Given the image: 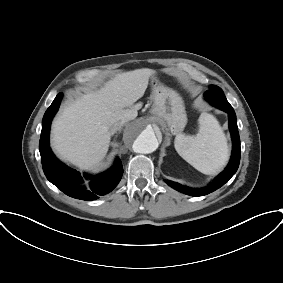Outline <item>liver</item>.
Segmentation results:
<instances>
[{
    "mask_svg": "<svg viewBox=\"0 0 283 283\" xmlns=\"http://www.w3.org/2000/svg\"><path fill=\"white\" fill-rule=\"evenodd\" d=\"M154 74L148 68L117 74L95 92L66 106L52 124V147L61 158L81 169H93L104 159L111 126L138 115L140 99Z\"/></svg>",
    "mask_w": 283,
    "mask_h": 283,
    "instance_id": "1",
    "label": "liver"
}]
</instances>
